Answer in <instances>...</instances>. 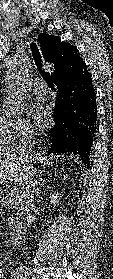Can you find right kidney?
<instances>
[{"label":"right kidney","instance_id":"ca27d5eb","mask_svg":"<svg viewBox=\"0 0 113 279\" xmlns=\"http://www.w3.org/2000/svg\"><path fill=\"white\" fill-rule=\"evenodd\" d=\"M60 194L58 192H53L51 195H50V202L53 204V205H56V204H59V201L58 199H60Z\"/></svg>","mask_w":113,"mask_h":279}]
</instances>
